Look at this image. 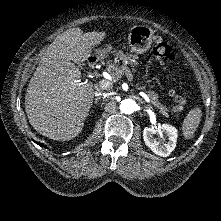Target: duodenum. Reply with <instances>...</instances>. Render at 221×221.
Here are the masks:
<instances>
[{
	"mask_svg": "<svg viewBox=\"0 0 221 221\" xmlns=\"http://www.w3.org/2000/svg\"><path fill=\"white\" fill-rule=\"evenodd\" d=\"M95 62H96V60H95L94 58H89L87 64H88V66H89L90 69H93V68H94Z\"/></svg>",
	"mask_w": 221,
	"mask_h": 221,
	"instance_id": "duodenum-1",
	"label": "duodenum"
}]
</instances>
